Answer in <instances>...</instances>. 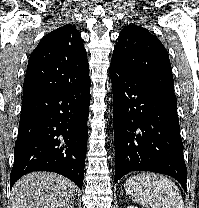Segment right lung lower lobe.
<instances>
[{
    "mask_svg": "<svg viewBox=\"0 0 199 208\" xmlns=\"http://www.w3.org/2000/svg\"><path fill=\"white\" fill-rule=\"evenodd\" d=\"M90 78L22 100L11 187L33 171L62 174L82 189L87 148Z\"/></svg>",
    "mask_w": 199,
    "mask_h": 208,
    "instance_id": "98d812e1",
    "label": "right lung lower lobe"
}]
</instances>
